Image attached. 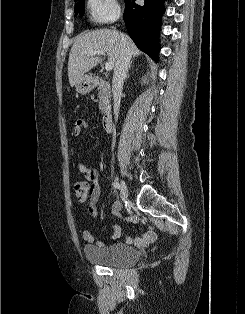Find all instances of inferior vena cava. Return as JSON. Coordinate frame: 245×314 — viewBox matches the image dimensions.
<instances>
[{"mask_svg": "<svg viewBox=\"0 0 245 314\" xmlns=\"http://www.w3.org/2000/svg\"><path fill=\"white\" fill-rule=\"evenodd\" d=\"M131 60L130 49L124 43L119 59L117 60L114 68V75L112 79V93L114 100V118L115 121L118 119L120 100L122 95L123 83L126 76L127 69Z\"/></svg>", "mask_w": 245, "mask_h": 314, "instance_id": "602c4592", "label": "inferior vena cava"}]
</instances>
